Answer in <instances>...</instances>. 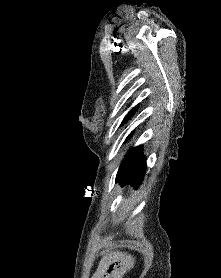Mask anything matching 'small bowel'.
Segmentation results:
<instances>
[{"label": "small bowel", "instance_id": "c3829d8e", "mask_svg": "<svg viewBox=\"0 0 221 278\" xmlns=\"http://www.w3.org/2000/svg\"><path fill=\"white\" fill-rule=\"evenodd\" d=\"M131 263V259L120 252L110 253L101 261L93 278H121Z\"/></svg>", "mask_w": 221, "mask_h": 278}]
</instances>
